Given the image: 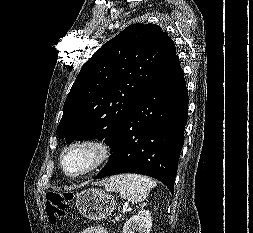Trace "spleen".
Masks as SVG:
<instances>
[{
	"instance_id": "1",
	"label": "spleen",
	"mask_w": 253,
	"mask_h": 233,
	"mask_svg": "<svg viewBox=\"0 0 253 233\" xmlns=\"http://www.w3.org/2000/svg\"><path fill=\"white\" fill-rule=\"evenodd\" d=\"M157 186L153 179L139 174H120L113 176L105 185L111 192H119L120 196L134 204L143 202L151 188Z\"/></svg>"
}]
</instances>
